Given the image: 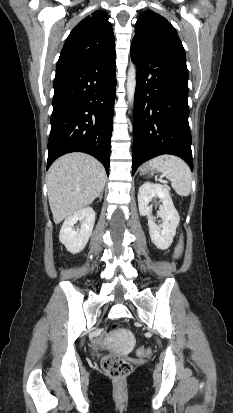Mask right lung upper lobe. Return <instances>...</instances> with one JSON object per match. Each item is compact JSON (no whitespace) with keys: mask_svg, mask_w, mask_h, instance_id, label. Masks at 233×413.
Masks as SVG:
<instances>
[{"mask_svg":"<svg viewBox=\"0 0 233 413\" xmlns=\"http://www.w3.org/2000/svg\"><path fill=\"white\" fill-rule=\"evenodd\" d=\"M115 51L108 15L95 11L74 27L61 51L56 69L78 64Z\"/></svg>","mask_w":233,"mask_h":413,"instance_id":"obj_1","label":"right lung upper lobe"}]
</instances>
